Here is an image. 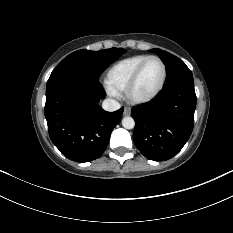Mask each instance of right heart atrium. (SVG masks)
Wrapping results in <instances>:
<instances>
[{
	"instance_id": "1",
	"label": "right heart atrium",
	"mask_w": 233,
	"mask_h": 233,
	"mask_svg": "<svg viewBox=\"0 0 233 233\" xmlns=\"http://www.w3.org/2000/svg\"><path fill=\"white\" fill-rule=\"evenodd\" d=\"M108 91H109L110 94L115 95V93L112 92L111 90L108 89Z\"/></svg>"
}]
</instances>
